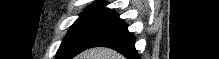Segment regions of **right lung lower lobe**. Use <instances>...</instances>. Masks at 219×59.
I'll return each mask as SVG.
<instances>
[{"label": "right lung lower lobe", "instance_id": "obj_1", "mask_svg": "<svg viewBox=\"0 0 219 59\" xmlns=\"http://www.w3.org/2000/svg\"><path fill=\"white\" fill-rule=\"evenodd\" d=\"M127 27V24L123 23L99 39L92 47H108L121 53L128 59H140L134 48L135 37L128 32Z\"/></svg>", "mask_w": 219, "mask_h": 59}]
</instances>
